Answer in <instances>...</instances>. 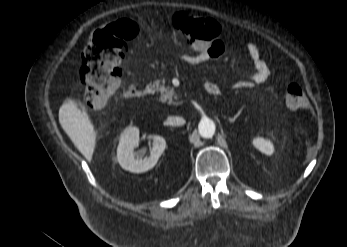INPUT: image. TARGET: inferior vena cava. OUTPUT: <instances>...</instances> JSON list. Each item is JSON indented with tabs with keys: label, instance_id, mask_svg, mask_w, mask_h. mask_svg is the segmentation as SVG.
<instances>
[{
	"label": "inferior vena cava",
	"instance_id": "inferior-vena-cava-1",
	"mask_svg": "<svg viewBox=\"0 0 347 247\" xmlns=\"http://www.w3.org/2000/svg\"><path fill=\"white\" fill-rule=\"evenodd\" d=\"M169 125L179 126L185 123V120L182 117H169L167 120Z\"/></svg>",
	"mask_w": 347,
	"mask_h": 247
}]
</instances>
